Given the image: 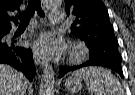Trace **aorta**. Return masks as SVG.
<instances>
[{
  "label": "aorta",
  "mask_w": 135,
  "mask_h": 95,
  "mask_svg": "<svg viewBox=\"0 0 135 95\" xmlns=\"http://www.w3.org/2000/svg\"><path fill=\"white\" fill-rule=\"evenodd\" d=\"M47 8H56L60 6L61 0H44L43 1ZM55 86V73L51 65L44 67L41 83L39 89V95H54Z\"/></svg>",
  "instance_id": "1"
}]
</instances>
